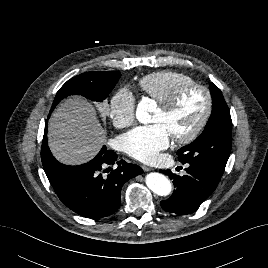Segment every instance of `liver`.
<instances>
[{"mask_svg": "<svg viewBox=\"0 0 268 268\" xmlns=\"http://www.w3.org/2000/svg\"><path fill=\"white\" fill-rule=\"evenodd\" d=\"M106 141V130L94 106L81 98L65 100L49 121L48 145L54 157L67 165L91 160Z\"/></svg>", "mask_w": 268, "mask_h": 268, "instance_id": "obj_1", "label": "liver"}]
</instances>
